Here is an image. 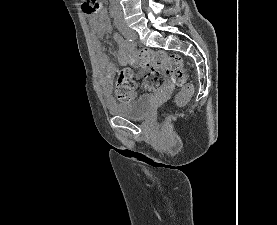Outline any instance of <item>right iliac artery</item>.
Segmentation results:
<instances>
[{
	"instance_id": "1",
	"label": "right iliac artery",
	"mask_w": 277,
	"mask_h": 225,
	"mask_svg": "<svg viewBox=\"0 0 277 225\" xmlns=\"http://www.w3.org/2000/svg\"><path fill=\"white\" fill-rule=\"evenodd\" d=\"M119 36L123 39V37L120 34H119ZM123 40L128 47H131L133 45V40L131 38H126Z\"/></svg>"
}]
</instances>
